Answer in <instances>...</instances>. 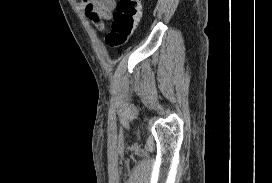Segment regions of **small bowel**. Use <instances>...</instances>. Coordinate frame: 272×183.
Listing matches in <instances>:
<instances>
[{"instance_id":"1","label":"small bowel","mask_w":272,"mask_h":183,"mask_svg":"<svg viewBox=\"0 0 272 183\" xmlns=\"http://www.w3.org/2000/svg\"><path fill=\"white\" fill-rule=\"evenodd\" d=\"M86 16L99 28L102 20H109L113 15L115 0H81Z\"/></svg>"}]
</instances>
